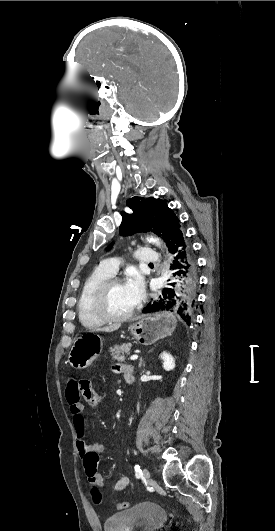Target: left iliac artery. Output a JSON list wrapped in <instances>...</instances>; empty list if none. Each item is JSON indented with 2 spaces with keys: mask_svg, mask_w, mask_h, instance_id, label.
<instances>
[{
  "mask_svg": "<svg viewBox=\"0 0 275 531\" xmlns=\"http://www.w3.org/2000/svg\"><path fill=\"white\" fill-rule=\"evenodd\" d=\"M134 469H135L136 478H138V479L141 478L143 476V473H142V470H141L140 466L138 464H136Z\"/></svg>",
  "mask_w": 275,
  "mask_h": 531,
  "instance_id": "44dca946",
  "label": "left iliac artery"
}]
</instances>
